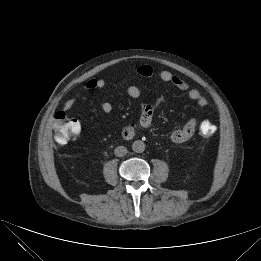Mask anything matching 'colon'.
Instances as JSON below:
<instances>
[{
	"mask_svg": "<svg viewBox=\"0 0 261 261\" xmlns=\"http://www.w3.org/2000/svg\"><path fill=\"white\" fill-rule=\"evenodd\" d=\"M54 140L57 146H64L74 140L79 134L75 119L69 118L64 112H58L53 121ZM216 132V127L209 121L200 126L199 135L203 139L211 138Z\"/></svg>",
	"mask_w": 261,
	"mask_h": 261,
	"instance_id": "5ec220e1",
	"label": "colon"
}]
</instances>
